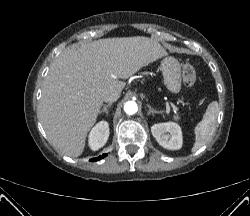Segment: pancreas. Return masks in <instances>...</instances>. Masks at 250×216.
I'll return each mask as SVG.
<instances>
[{"mask_svg":"<svg viewBox=\"0 0 250 216\" xmlns=\"http://www.w3.org/2000/svg\"><path fill=\"white\" fill-rule=\"evenodd\" d=\"M179 117L178 116H175V119H178Z\"/></svg>","mask_w":250,"mask_h":216,"instance_id":"1","label":"pancreas"}]
</instances>
